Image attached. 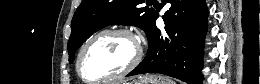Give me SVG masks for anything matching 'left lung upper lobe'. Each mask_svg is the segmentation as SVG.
Returning a JSON list of instances; mask_svg holds the SVG:
<instances>
[{"mask_svg": "<svg viewBox=\"0 0 260 84\" xmlns=\"http://www.w3.org/2000/svg\"><path fill=\"white\" fill-rule=\"evenodd\" d=\"M142 3L143 0H82L72 19L69 62H73L76 50L94 32L108 25L138 26L148 34L156 11L139 7Z\"/></svg>", "mask_w": 260, "mask_h": 84, "instance_id": "left-lung-upper-lobe-1", "label": "left lung upper lobe"}]
</instances>
